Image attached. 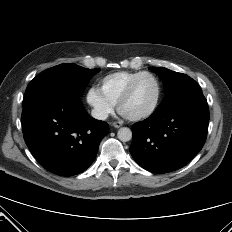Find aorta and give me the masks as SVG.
I'll return each mask as SVG.
<instances>
[{"instance_id":"762f6f07","label":"aorta","mask_w":232,"mask_h":232,"mask_svg":"<svg viewBox=\"0 0 232 232\" xmlns=\"http://www.w3.org/2000/svg\"><path fill=\"white\" fill-rule=\"evenodd\" d=\"M117 137L122 142H127L132 139V131L127 127H122L118 130Z\"/></svg>"}]
</instances>
